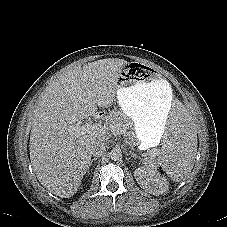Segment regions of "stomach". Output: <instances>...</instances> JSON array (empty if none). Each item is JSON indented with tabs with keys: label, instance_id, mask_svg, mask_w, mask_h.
Segmentation results:
<instances>
[{
	"label": "stomach",
	"instance_id": "0dacf381",
	"mask_svg": "<svg viewBox=\"0 0 227 227\" xmlns=\"http://www.w3.org/2000/svg\"><path fill=\"white\" fill-rule=\"evenodd\" d=\"M116 94L121 111L134 124L137 144L143 149L157 145L171 109L169 82L147 64L128 62L119 71Z\"/></svg>",
	"mask_w": 227,
	"mask_h": 227
}]
</instances>
